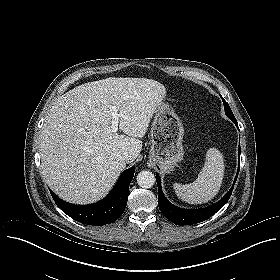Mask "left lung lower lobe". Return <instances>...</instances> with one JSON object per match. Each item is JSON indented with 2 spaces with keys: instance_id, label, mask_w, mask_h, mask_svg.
<instances>
[{
  "instance_id": "1",
  "label": "left lung lower lobe",
  "mask_w": 280,
  "mask_h": 280,
  "mask_svg": "<svg viewBox=\"0 0 280 280\" xmlns=\"http://www.w3.org/2000/svg\"><path fill=\"white\" fill-rule=\"evenodd\" d=\"M235 125L238 127L237 122H234ZM239 129V128H238ZM239 161H240V150H239ZM239 168L237 171V175L235 177V181L233 183L232 188L226 193V195L217 203L206 207V208H201V209H181L173 204H171L164 196L162 190H161V183H160V178L158 175H156V181L158 185V204H159V209L161 213L169 219L171 222H173L176 225H191L195 223L202 222L212 215H214L216 212H218L229 200L232 190L234 187V184L237 180L238 173H239Z\"/></svg>"
}]
</instances>
